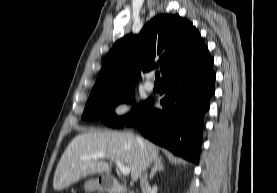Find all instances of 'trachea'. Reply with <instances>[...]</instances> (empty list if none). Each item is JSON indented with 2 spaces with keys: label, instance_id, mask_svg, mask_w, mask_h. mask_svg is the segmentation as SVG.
<instances>
[{
  "label": "trachea",
  "instance_id": "1",
  "mask_svg": "<svg viewBox=\"0 0 277 193\" xmlns=\"http://www.w3.org/2000/svg\"><path fill=\"white\" fill-rule=\"evenodd\" d=\"M155 77H156L157 81H159L160 80V73L156 72Z\"/></svg>",
  "mask_w": 277,
  "mask_h": 193
}]
</instances>
